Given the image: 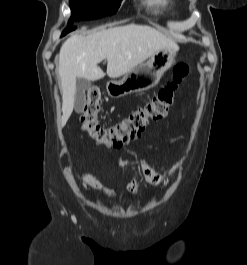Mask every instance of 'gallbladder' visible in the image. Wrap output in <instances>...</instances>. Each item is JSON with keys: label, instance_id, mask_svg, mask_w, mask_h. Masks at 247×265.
<instances>
[{"label": "gallbladder", "instance_id": "obj_1", "mask_svg": "<svg viewBox=\"0 0 247 265\" xmlns=\"http://www.w3.org/2000/svg\"><path fill=\"white\" fill-rule=\"evenodd\" d=\"M91 81L84 78H77L75 94V110L80 113L84 105L85 91L91 87Z\"/></svg>", "mask_w": 247, "mask_h": 265}]
</instances>
